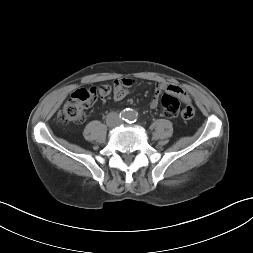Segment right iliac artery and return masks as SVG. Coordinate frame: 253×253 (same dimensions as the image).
I'll list each match as a JSON object with an SVG mask.
<instances>
[{
    "mask_svg": "<svg viewBox=\"0 0 253 253\" xmlns=\"http://www.w3.org/2000/svg\"><path fill=\"white\" fill-rule=\"evenodd\" d=\"M120 117H122V119L124 120V117H126V115L125 114H120Z\"/></svg>",
    "mask_w": 253,
    "mask_h": 253,
    "instance_id": "obj_1",
    "label": "right iliac artery"
}]
</instances>
